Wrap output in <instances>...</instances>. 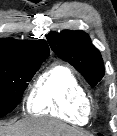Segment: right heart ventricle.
Returning a JSON list of instances; mask_svg holds the SVG:
<instances>
[{
  "label": "right heart ventricle",
  "instance_id": "1",
  "mask_svg": "<svg viewBox=\"0 0 117 136\" xmlns=\"http://www.w3.org/2000/svg\"><path fill=\"white\" fill-rule=\"evenodd\" d=\"M88 104V96L73 70L55 64L42 72L27 97V109L35 115H51L82 125L86 117L81 113Z\"/></svg>",
  "mask_w": 117,
  "mask_h": 136
}]
</instances>
